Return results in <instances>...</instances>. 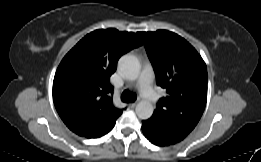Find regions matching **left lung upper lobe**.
<instances>
[{"instance_id": "1", "label": "left lung upper lobe", "mask_w": 261, "mask_h": 162, "mask_svg": "<svg viewBox=\"0 0 261 162\" xmlns=\"http://www.w3.org/2000/svg\"><path fill=\"white\" fill-rule=\"evenodd\" d=\"M156 74L165 88L152 117L191 132L199 122L207 101V68L181 36L166 30L138 32Z\"/></svg>"}]
</instances>
